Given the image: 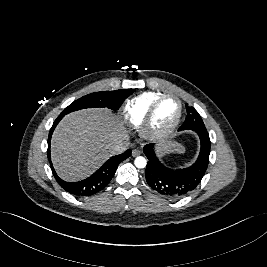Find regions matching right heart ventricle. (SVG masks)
Returning a JSON list of instances; mask_svg holds the SVG:
<instances>
[{
    "instance_id": "e07e8e85",
    "label": "right heart ventricle",
    "mask_w": 267,
    "mask_h": 267,
    "mask_svg": "<svg viewBox=\"0 0 267 267\" xmlns=\"http://www.w3.org/2000/svg\"><path fill=\"white\" fill-rule=\"evenodd\" d=\"M161 95V92L149 91L129 99L123 109L124 120L132 127H140L150 105Z\"/></svg>"
}]
</instances>
